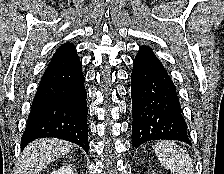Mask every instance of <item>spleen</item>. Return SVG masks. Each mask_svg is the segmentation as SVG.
I'll return each mask as SVG.
<instances>
[{
    "label": "spleen",
    "mask_w": 224,
    "mask_h": 174,
    "mask_svg": "<svg viewBox=\"0 0 224 174\" xmlns=\"http://www.w3.org/2000/svg\"><path fill=\"white\" fill-rule=\"evenodd\" d=\"M160 163L172 174H194L188 153L172 141H161L154 147Z\"/></svg>",
    "instance_id": "obj_1"
}]
</instances>
